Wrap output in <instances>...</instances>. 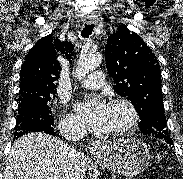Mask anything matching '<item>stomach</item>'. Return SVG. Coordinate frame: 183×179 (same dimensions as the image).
Here are the masks:
<instances>
[{"instance_id": "1", "label": "stomach", "mask_w": 183, "mask_h": 179, "mask_svg": "<svg viewBox=\"0 0 183 179\" xmlns=\"http://www.w3.org/2000/svg\"><path fill=\"white\" fill-rule=\"evenodd\" d=\"M95 156L108 170L127 177L143 172L151 159L146 144L136 138L101 144L95 151Z\"/></svg>"}]
</instances>
